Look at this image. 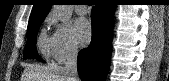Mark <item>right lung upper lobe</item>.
<instances>
[{
  "mask_svg": "<svg viewBox=\"0 0 169 81\" xmlns=\"http://www.w3.org/2000/svg\"><path fill=\"white\" fill-rule=\"evenodd\" d=\"M52 1L53 0H34V5L28 24L44 20L52 6Z\"/></svg>",
  "mask_w": 169,
  "mask_h": 81,
  "instance_id": "cb5924a9",
  "label": "right lung upper lobe"
}]
</instances>
